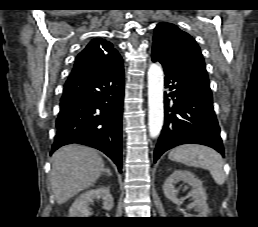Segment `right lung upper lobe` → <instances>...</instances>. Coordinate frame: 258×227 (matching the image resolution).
I'll list each match as a JSON object with an SVG mask.
<instances>
[{
    "instance_id": "obj_1",
    "label": "right lung upper lobe",
    "mask_w": 258,
    "mask_h": 227,
    "mask_svg": "<svg viewBox=\"0 0 258 227\" xmlns=\"http://www.w3.org/2000/svg\"><path fill=\"white\" fill-rule=\"evenodd\" d=\"M114 57H120L112 44L105 39H93L76 58L71 75L89 73Z\"/></svg>"
}]
</instances>
